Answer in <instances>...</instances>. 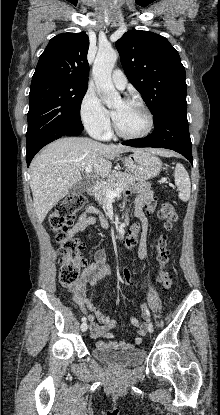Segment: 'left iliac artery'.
I'll use <instances>...</instances> for the list:
<instances>
[{"label":"left iliac artery","mask_w":220,"mask_h":415,"mask_svg":"<svg viewBox=\"0 0 220 415\" xmlns=\"http://www.w3.org/2000/svg\"><path fill=\"white\" fill-rule=\"evenodd\" d=\"M142 310L145 312V314L150 318V312L149 309L145 304L142 305Z\"/></svg>","instance_id":"44dca946"}]
</instances>
